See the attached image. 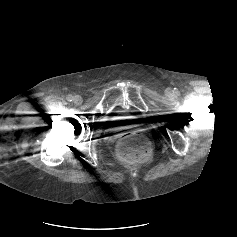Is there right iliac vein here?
Masks as SVG:
<instances>
[{"mask_svg":"<svg viewBox=\"0 0 237 237\" xmlns=\"http://www.w3.org/2000/svg\"><path fill=\"white\" fill-rule=\"evenodd\" d=\"M73 101H74V103H75L76 105H80V104H82V102H83L81 96H79V95H76V96L74 97Z\"/></svg>","mask_w":237,"mask_h":237,"instance_id":"1","label":"right iliac vein"}]
</instances>
